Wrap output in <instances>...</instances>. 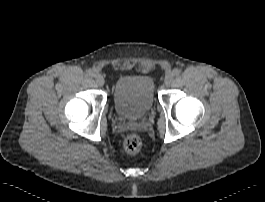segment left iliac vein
<instances>
[{
  "label": "left iliac vein",
  "instance_id": "4c4485c4",
  "mask_svg": "<svg viewBox=\"0 0 265 202\" xmlns=\"http://www.w3.org/2000/svg\"><path fill=\"white\" fill-rule=\"evenodd\" d=\"M174 78L173 72H168L164 78V84L165 85H170L172 83V80Z\"/></svg>",
  "mask_w": 265,
  "mask_h": 202
}]
</instances>
